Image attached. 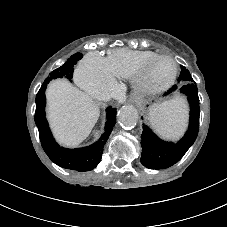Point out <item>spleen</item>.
I'll use <instances>...</instances> for the list:
<instances>
[{
    "label": "spleen",
    "instance_id": "obj_1",
    "mask_svg": "<svg viewBox=\"0 0 227 227\" xmlns=\"http://www.w3.org/2000/svg\"><path fill=\"white\" fill-rule=\"evenodd\" d=\"M149 121L163 138L176 140L186 127V109L182 101L154 106L149 112Z\"/></svg>",
    "mask_w": 227,
    "mask_h": 227
}]
</instances>
